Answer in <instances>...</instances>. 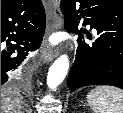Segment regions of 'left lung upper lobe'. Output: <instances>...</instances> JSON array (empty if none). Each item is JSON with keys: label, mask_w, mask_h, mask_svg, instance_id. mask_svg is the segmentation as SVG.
<instances>
[{"label": "left lung upper lobe", "mask_w": 123, "mask_h": 113, "mask_svg": "<svg viewBox=\"0 0 123 113\" xmlns=\"http://www.w3.org/2000/svg\"><path fill=\"white\" fill-rule=\"evenodd\" d=\"M113 1V3H115L116 5L123 7V0H111Z\"/></svg>", "instance_id": "left-lung-upper-lobe-1"}]
</instances>
